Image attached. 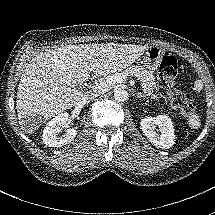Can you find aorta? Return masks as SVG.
Instances as JSON below:
<instances>
[{
    "mask_svg": "<svg viewBox=\"0 0 215 215\" xmlns=\"http://www.w3.org/2000/svg\"><path fill=\"white\" fill-rule=\"evenodd\" d=\"M129 99V94L126 90L120 89L115 91L114 93V100L118 103L125 102Z\"/></svg>",
    "mask_w": 215,
    "mask_h": 215,
    "instance_id": "obj_1",
    "label": "aorta"
}]
</instances>
